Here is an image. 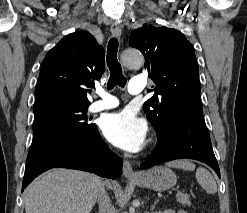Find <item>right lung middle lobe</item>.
Returning a JSON list of instances; mask_svg holds the SVG:
<instances>
[{"label": "right lung middle lobe", "instance_id": "right-lung-middle-lobe-1", "mask_svg": "<svg viewBox=\"0 0 247 213\" xmlns=\"http://www.w3.org/2000/svg\"><path fill=\"white\" fill-rule=\"evenodd\" d=\"M88 106L58 101L34 110L33 134L41 129L50 127L93 130L96 125L88 122L86 114Z\"/></svg>", "mask_w": 247, "mask_h": 213}]
</instances>
